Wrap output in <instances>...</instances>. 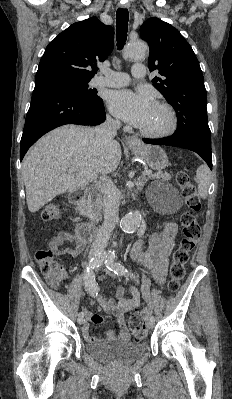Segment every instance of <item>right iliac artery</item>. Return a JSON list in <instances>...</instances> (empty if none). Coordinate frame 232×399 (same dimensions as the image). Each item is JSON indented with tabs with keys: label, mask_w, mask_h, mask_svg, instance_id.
Here are the masks:
<instances>
[{
	"label": "right iliac artery",
	"mask_w": 232,
	"mask_h": 399,
	"mask_svg": "<svg viewBox=\"0 0 232 399\" xmlns=\"http://www.w3.org/2000/svg\"><path fill=\"white\" fill-rule=\"evenodd\" d=\"M104 261L103 255H95L89 260L88 267L85 269L84 272V286L86 291L89 293L90 296L95 297L99 293L98 283L95 280V275L92 269L99 267ZM78 317H83V313L80 312Z\"/></svg>",
	"instance_id": "obj_1"
}]
</instances>
